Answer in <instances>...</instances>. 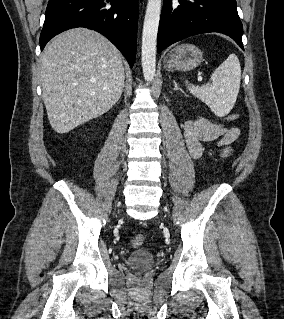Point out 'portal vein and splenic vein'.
I'll return each instance as SVG.
<instances>
[{
    "label": "portal vein and splenic vein",
    "mask_w": 284,
    "mask_h": 319,
    "mask_svg": "<svg viewBox=\"0 0 284 319\" xmlns=\"http://www.w3.org/2000/svg\"><path fill=\"white\" fill-rule=\"evenodd\" d=\"M202 79H203V78H202L201 76L198 77V81H202Z\"/></svg>",
    "instance_id": "obj_1"
}]
</instances>
